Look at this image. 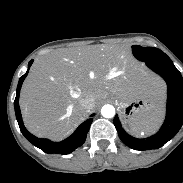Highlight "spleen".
Instances as JSON below:
<instances>
[{"instance_id":"obj_1","label":"spleen","mask_w":183,"mask_h":183,"mask_svg":"<svg viewBox=\"0 0 183 183\" xmlns=\"http://www.w3.org/2000/svg\"><path fill=\"white\" fill-rule=\"evenodd\" d=\"M164 111L161 106L145 115L141 120L130 123V128L136 136L150 135L154 133L163 121Z\"/></svg>"}]
</instances>
